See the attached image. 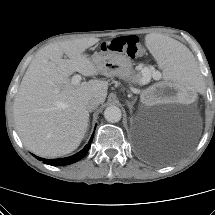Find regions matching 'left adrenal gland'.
<instances>
[{"mask_svg": "<svg viewBox=\"0 0 215 215\" xmlns=\"http://www.w3.org/2000/svg\"><path fill=\"white\" fill-rule=\"evenodd\" d=\"M126 102H127V105L129 107L130 112H132L133 105H134L135 102L134 101H132V102L126 101Z\"/></svg>", "mask_w": 215, "mask_h": 215, "instance_id": "a2214340", "label": "left adrenal gland"}]
</instances>
